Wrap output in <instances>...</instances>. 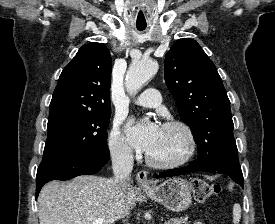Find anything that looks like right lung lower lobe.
<instances>
[{"instance_id":"obj_1","label":"right lung lower lobe","mask_w":275,"mask_h":224,"mask_svg":"<svg viewBox=\"0 0 275 224\" xmlns=\"http://www.w3.org/2000/svg\"><path fill=\"white\" fill-rule=\"evenodd\" d=\"M110 158L107 147L79 154L54 155L43 158L37 170L36 199L44 184L51 180H68L98 172Z\"/></svg>"}]
</instances>
